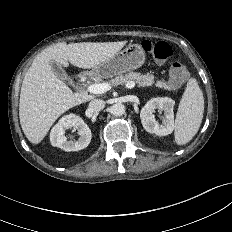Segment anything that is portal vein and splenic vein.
<instances>
[{"instance_id": "1", "label": "portal vein and splenic vein", "mask_w": 232, "mask_h": 232, "mask_svg": "<svg viewBox=\"0 0 232 232\" xmlns=\"http://www.w3.org/2000/svg\"><path fill=\"white\" fill-rule=\"evenodd\" d=\"M125 86H126V88L131 89V88L135 87V82L129 81V82H127V84ZM110 89H111V85L108 83L91 84L87 88V90L93 94H103V93L109 91Z\"/></svg>"}]
</instances>
